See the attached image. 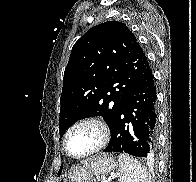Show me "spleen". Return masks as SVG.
<instances>
[{"mask_svg":"<svg viewBox=\"0 0 196 182\" xmlns=\"http://www.w3.org/2000/svg\"><path fill=\"white\" fill-rule=\"evenodd\" d=\"M120 178L119 182H151L147 169L135 158L127 154L118 157Z\"/></svg>","mask_w":196,"mask_h":182,"instance_id":"spleen-1","label":"spleen"}]
</instances>
